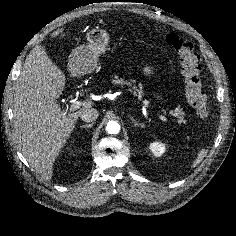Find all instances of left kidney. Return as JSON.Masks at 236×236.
<instances>
[{
  "label": "left kidney",
  "mask_w": 236,
  "mask_h": 236,
  "mask_svg": "<svg viewBox=\"0 0 236 236\" xmlns=\"http://www.w3.org/2000/svg\"><path fill=\"white\" fill-rule=\"evenodd\" d=\"M165 144L155 141L150 143V150L156 157H160L165 152Z\"/></svg>",
  "instance_id": "5707ae66"
}]
</instances>
